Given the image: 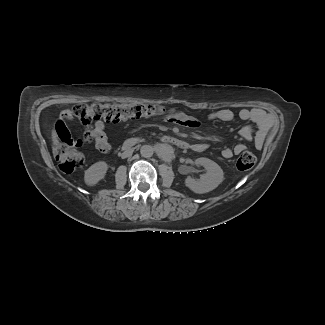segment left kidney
Listing matches in <instances>:
<instances>
[{
	"instance_id": "1",
	"label": "left kidney",
	"mask_w": 325,
	"mask_h": 325,
	"mask_svg": "<svg viewBox=\"0 0 325 325\" xmlns=\"http://www.w3.org/2000/svg\"><path fill=\"white\" fill-rule=\"evenodd\" d=\"M195 164L203 166L206 173L202 174L199 180H195L190 176L185 179V185L193 192L198 194L210 192L223 181V170L216 162L201 157L195 160Z\"/></svg>"
}]
</instances>
